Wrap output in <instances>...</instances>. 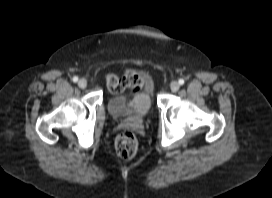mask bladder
I'll use <instances>...</instances> for the list:
<instances>
[{"label":"bladder","instance_id":"31cf9c89","mask_svg":"<svg viewBox=\"0 0 272 198\" xmlns=\"http://www.w3.org/2000/svg\"><path fill=\"white\" fill-rule=\"evenodd\" d=\"M107 108L116 119L145 118L152 108V89L149 86L130 100L122 95H113L107 101Z\"/></svg>","mask_w":272,"mask_h":198}]
</instances>
